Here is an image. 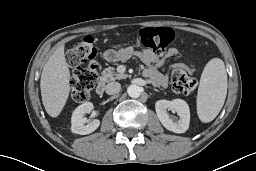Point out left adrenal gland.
<instances>
[{
    "label": "left adrenal gland",
    "instance_id": "left-adrenal-gland-1",
    "mask_svg": "<svg viewBox=\"0 0 256 171\" xmlns=\"http://www.w3.org/2000/svg\"><path fill=\"white\" fill-rule=\"evenodd\" d=\"M154 90H155V91H158V89H156L155 87H154Z\"/></svg>",
    "mask_w": 256,
    "mask_h": 171
}]
</instances>
